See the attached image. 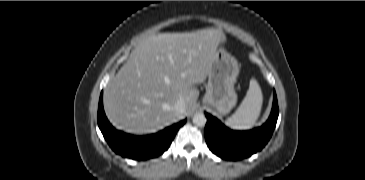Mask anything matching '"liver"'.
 Returning a JSON list of instances; mask_svg holds the SVG:
<instances>
[{
  "mask_svg": "<svg viewBox=\"0 0 365 180\" xmlns=\"http://www.w3.org/2000/svg\"><path fill=\"white\" fill-rule=\"evenodd\" d=\"M222 40L220 29L163 33L145 38L104 91L110 122L130 133H153L190 114L199 97L195 85L208 76ZM184 99L185 112L174 105Z\"/></svg>",
  "mask_w": 365,
  "mask_h": 180,
  "instance_id": "obj_1",
  "label": "liver"
}]
</instances>
